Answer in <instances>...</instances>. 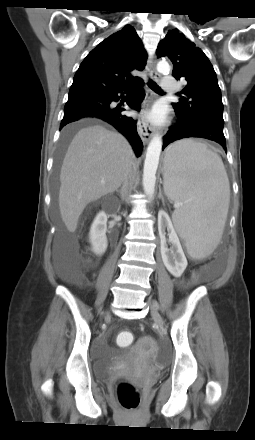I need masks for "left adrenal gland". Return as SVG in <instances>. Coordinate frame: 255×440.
<instances>
[{
    "label": "left adrenal gland",
    "instance_id": "1",
    "mask_svg": "<svg viewBox=\"0 0 255 440\" xmlns=\"http://www.w3.org/2000/svg\"><path fill=\"white\" fill-rule=\"evenodd\" d=\"M162 202L164 203V198L162 197Z\"/></svg>",
    "mask_w": 255,
    "mask_h": 440
}]
</instances>
